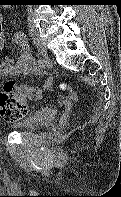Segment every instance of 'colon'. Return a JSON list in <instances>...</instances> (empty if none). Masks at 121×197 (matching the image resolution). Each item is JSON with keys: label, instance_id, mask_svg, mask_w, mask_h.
Segmentation results:
<instances>
[{"label": "colon", "instance_id": "5ec220e1", "mask_svg": "<svg viewBox=\"0 0 121 197\" xmlns=\"http://www.w3.org/2000/svg\"><path fill=\"white\" fill-rule=\"evenodd\" d=\"M58 87L62 91L69 90V83L61 80ZM35 97L33 87L15 82L7 81L0 91V115L5 121L15 122L23 119L28 112L26 101Z\"/></svg>", "mask_w": 121, "mask_h": 197}]
</instances>
